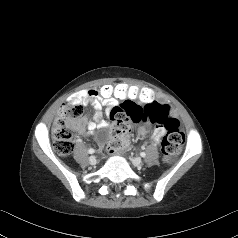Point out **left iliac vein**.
Wrapping results in <instances>:
<instances>
[{
    "mask_svg": "<svg viewBox=\"0 0 238 238\" xmlns=\"http://www.w3.org/2000/svg\"><path fill=\"white\" fill-rule=\"evenodd\" d=\"M131 161L136 167L142 166V160L139 157H134L131 159Z\"/></svg>",
    "mask_w": 238,
    "mask_h": 238,
    "instance_id": "obj_1",
    "label": "left iliac vein"
}]
</instances>
